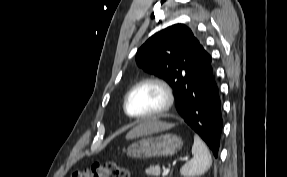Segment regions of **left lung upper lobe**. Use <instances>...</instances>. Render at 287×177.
<instances>
[{
  "label": "left lung upper lobe",
  "mask_w": 287,
  "mask_h": 177,
  "mask_svg": "<svg viewBox=\"0 0 287 177\" xmlns=\"http://www.w3.org/2000/svg\"><path fill=\"white\" fill-rule=\"evenodd\" d=\"M205 45L183 24L169 26L151 36L137 51L136 62L173 88L176 105L186 87L210 62Z\"/></svg>",
  "instance_id": "left-lung-upper-lobe-1"
}]
</instances>
